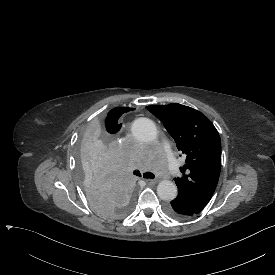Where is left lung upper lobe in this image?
<instances>
[{"label": "left lung upper lobe", "instance_id": "obj_1", "mask_svg": "<svg viewBox=\"0 0 275 275\" xmlns=\"http://www.w3.org/2000/svg\"><path fill=\"white\" fill-rule=\"evenodd\" d=\"M160 119L186 161L182 177L175 178L178 198L205 207L218 183L221 140L210 120L201 112L177 103L146 107Z\"/></svg>", "mask_w": 275, "mask_h": 275}]
</instances>
